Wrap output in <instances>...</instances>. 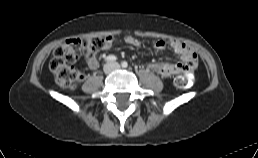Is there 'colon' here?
Here are the masks:
<instances>
[{"mask_svg":"<svg viewBox=\"0 0 258 158\" xmlns=\"http://www.w3.org/2000/svg\"><path fill=\"white\" fill-rule=\"evenodd\" d=\"M107 47L106 38L102 37H74L64 40L55 50L50 62V70L55 75L59 85L74 89L82 79L74 63L82 56H93ZM180 88H186L192 83V74L187 73L176 81Z\"/></svg>","mask_w":258,"mask_h":158,"instance_id":"colon-1","label":"colon"}]
</instances>
